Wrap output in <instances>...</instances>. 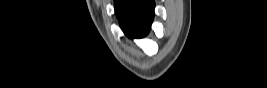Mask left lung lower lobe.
<instances>
[{
  "mask_svg": "<svg viewBox=\"0 0 267 88\" xmlns=\"http://www.w3.org/2000/svg\"><path fill=\"white\" fill-rule=\"evenodd\" d=\"M153 7V1L149 0H115L117 18L129 37H141L148 33Z\"/></svg>",
  "mask_w": 267,
  "mask_h": 88,
  "instance_id": "0a47b994",
  "label": "left lung lower lobe"
}]
</instances>
